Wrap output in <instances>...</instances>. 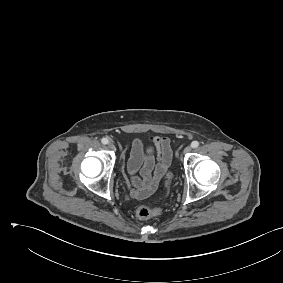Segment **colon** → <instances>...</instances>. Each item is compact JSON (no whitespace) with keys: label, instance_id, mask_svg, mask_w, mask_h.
Masks as SVG:
<instances>
[{"label":"colon","instance_id":"1","mask_svg":"<svg viewBox=\"0 0 283 283\" xmlns=\"http://www.w3.org/2000/svg\"><path fill=\"white\" fill-rule=\"evenodd\" d=\"M166 185H171V175H168V179L166 181ZM161 213V209L159 207H154L149 204H144L138 207L136 211V215L140 219H147L153 216H156Z\"/></svg>","mask_w":283,"mask_h":283}]
</instances>
